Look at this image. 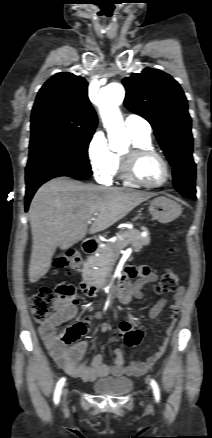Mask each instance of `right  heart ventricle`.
I'll use <instances>...</instances> for the list:
<instances>
[{
    "label": "right heart ventricle",
    "mask_w": 212,
    "mask_h": 438,
    "mask_svg": "<svg viewBox=\"0 0 212 438\" xmlns=\"http://www.w3.org/2000/svg\"><path fill=\"white\" fill-rule=\"evenodd\" d=\"M131 138L134 146L152 148V139L150 136H139L131 134ZM115 158V168L113 174L121 173V155L119 153H113Z\"/></svg>",
    "instance_id": "e07e8e85"
}]
</instances>
